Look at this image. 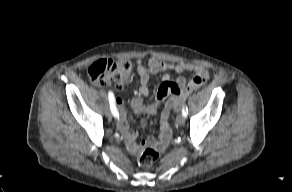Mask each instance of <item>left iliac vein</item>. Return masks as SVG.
I'll use <instances>...</instances> for the list:
<instances>
[{"mask_svg": "<svg viewBox=\"0 0 292 192\" xmlns=\"http://www.w3.org/2000/svg\"><path fill=\"white\" fill-rule=\"evenodd\" d=\"M176 121L178 125H183L185 123V117L183 115H179Z\"/></svg>", "mask_w": 292, "mask_h": 192, "instance_id": "obj_1", "label": "left iliac vein"}]
</instances>
